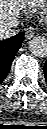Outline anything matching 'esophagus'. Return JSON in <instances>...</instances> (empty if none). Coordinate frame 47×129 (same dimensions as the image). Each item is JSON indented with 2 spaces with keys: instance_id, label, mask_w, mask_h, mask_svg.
<instances>
[{
  "instance_id": "34e87169",
  "label": "esophagus",
  "mask_w": 47,
  "mask_h": 129,
  "mask_svg": "<svg viewBox=\"0 0 47 129\" xmlns=\"http://www.w3.org/2000/svg\"><path fill=\"white\" fill-rule=\"evenodd\" d=\"M35 34L34 28L32 27H27L25 29V37L26 39H31Z\"/></svg>"
}]
</instances>
